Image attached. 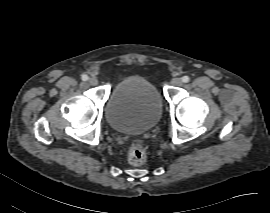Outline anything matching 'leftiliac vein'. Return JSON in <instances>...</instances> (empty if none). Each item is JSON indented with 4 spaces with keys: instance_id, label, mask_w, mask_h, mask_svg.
I'll return each mask as SVG.
<instances>
[{
    "instance_id": "left-iliac-vein-1",
    "label": "left iliac vein",
    "mask_w": 270,
    "mask_h": 213,
    "mask_svg": "<svg viewBox=\"0 0 270 213\" xmlns=\"http://www.w3.org/2000/svg\"><path fill=\"white\" fill-rule=\"evenodd\" d=\"M171 84H172L173 86H181V85H182V80H181V78L174 77V78L171 80Z\"/></svg>"
}]
</instances>
